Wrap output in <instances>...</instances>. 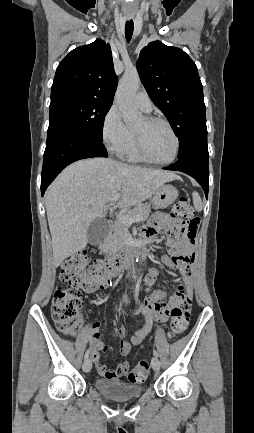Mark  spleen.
I'll return each mask as SVG.
<instances>
[{
    "instance_id": "spleen-1",
    "label": "spleen",
    "mask_w": 254,
    "mask_h": 433,
    "mask_svg": "<svg viewBox=\"0 0 254 433\" xmlns=\"http://www.w3.org/2000/svg\"><path fill=\"white\" fill-rule=\"evenodd\" d=\"M192 198H193L194 208L196 209V211L200 212L203 208V203H202V200H201L199 194L194 191L192 194Z\"/></svg>"
}]
</instances>
